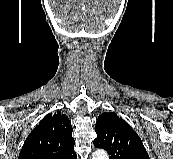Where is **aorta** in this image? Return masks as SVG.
<instances>
[{
    "label": "aorta",
    "instance_id": "aorta-1",
    "mask_svg": "<svg viewBox=\"0 0 173 159\" xmlns=\"http://www.w3.org/2000/svg\"><path fill=\"white\" fill-rule=\"evenodd\" d=\"M92 159H109V157L106 151L98 149L93 153Z\"/></svg>",
    "mask_w": 173,
    "mask_h": 159
}]
</instances>
